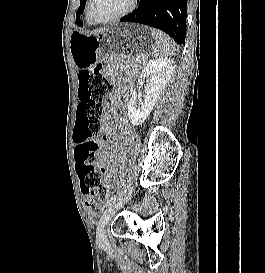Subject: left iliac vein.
<instances>
[{
  "instance_id": "obj_1",
  "label": "left iliac vein",
  "mask_w": 265,
  "mask_h": 273,
  "mask_svg": "<svg viewBox=\"0 0 265 273\" xmlns=\"http://www.w3.org/2000/svg\"><path fill=\"white\" fill-rule=\"evenodd\" d=\"M132 192V188L130 189V194ZM130 195L124 197V199L114 202L111 204L103 213L100 222L97 227V235H96V244L100 248H107L108 241L105 235V227L108 222L111 220L112 216L120 209L125 201L128 200Z\"/></svg>"
}]
</instances>
